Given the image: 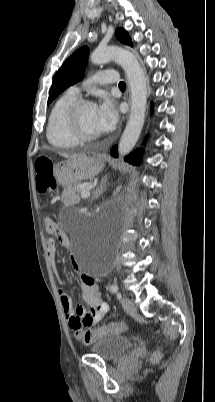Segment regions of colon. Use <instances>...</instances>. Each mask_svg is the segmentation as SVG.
I'll use <instances>...</instances> for the list:
<instances>
[{
    "instance_id": "obj_1",
    "label": "colon",
    "mask_w": 215,
    "mask_h": 402,
    "mask_svg": "<svg viewBox=\"0 0 215 402\" xmlns=\"http://www.w3.org/2000/svg\"><path fill=\"white\" fill-rule=\"evenodd\" d=\"M54 157L40 156L35 162L36 188L39 193L45 195L53 192L57 187L56 178L53 171ZM53 220L49 217L44 219V227L51 228ZM126 325L122 322H112L95 329L76 330L78 339L84 344H90L94 341L110 335H116L124 332ZM160 357L158 352L153 353L152 360L157 361Z\"/></svg>"
}]
</instances>
